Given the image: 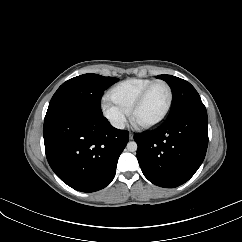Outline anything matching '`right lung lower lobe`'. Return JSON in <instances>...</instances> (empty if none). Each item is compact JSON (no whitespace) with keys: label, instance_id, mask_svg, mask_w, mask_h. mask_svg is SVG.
<instances>
[{"label":"right lung lower lobe","instance_id":"1","mask_svg":"<svg viewBox=\"0 0 242 242\" xmlns=\"http://www.w3.org/2000/svg\"><path fill=\"white\" fill-rule=\"evenodd\" d=\"M128 134L112 127L103 115L56 113L44 120L46 157L68 186L82 192L98 191L113 180Z\"/></svg>","mask_w":242,"mask_h":242}]
</instances>
